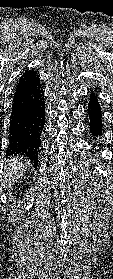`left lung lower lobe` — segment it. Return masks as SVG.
<instances>
[{
  "label": "left lung lower lobe",
  "mask_w": 113,
  "mask_h": 279,
  "mask_svg": "<svg viewBox=\"0 0 113 279\" xmlns=\"http://www.w3.org/2000/svg\"><path fill=\"white\" fill-rule=\"evenodd\" d=\"M88 115L90 117V130L94 136L101 135L102 133V121H101V109L98 100L93 93L90 96L88 103Z\"/></svg>",
  "instance_id": "left-lung-lower-lobe-1"
}]
</instances>
